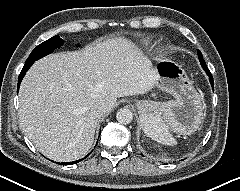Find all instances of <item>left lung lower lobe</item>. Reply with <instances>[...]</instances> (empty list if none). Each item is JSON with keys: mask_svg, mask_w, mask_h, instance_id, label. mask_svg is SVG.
<instances>
[{"mask_svg": "<svg viewBox=\"0 0 240 191\" xmlns=\"http://www.w3.org/2000/svg\"><path fill=\"white\" fill-rule=\"evenodd\" d=\"M199 60H200L201 66L203 67V69L205 70V72L207 73V75L209 76L210 83H211V85H212V88L214 89L213 77H212V74H211L210 70H209L208 67L206 66V63H205V61H204L203 58H199Z\"/></svg>", "mask_w": 240, "mask_h": 191, "instance_id": "1", "label": "left lung lower lobe"}]
</instances>
